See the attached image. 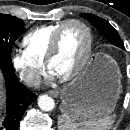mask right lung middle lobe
<instances>
[{
    "instance_id": "right-lung-middle-lobe-1",
    "label": "right lung middle lobe",
    "mask_w": 130,
    "mask_h": 130,
    "mask_svg": "<svg viewBox=\"0 0 130 130\" xmlns=\"http://www.w3.org/2000/svg\"><path fill=\"white\" fill-rule=\"evenodd\" d=\"M24 22L14 16L0 14V64L13 69L12 45L25 31Z\"/></svg>"
}]
</instances>
